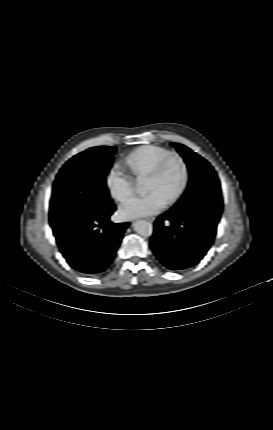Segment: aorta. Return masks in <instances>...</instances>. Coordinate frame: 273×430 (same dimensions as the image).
Segmentation results:
<instances>
[{
  "instance_id": "aorta-1",
  "label": "aorta",
  "mask_w": 273,
  "mask_h": 430,
  "mask_svg": "<svg viewBox=\"0 0 273 430\" xmlns=\"http://www.w3.org/2000/svg\"><path fill=\"white\" fill-rule=\"evenodd\" d=\"M138 192H144L146 190L145 182L143 180L137 181ZM134 230L141 236H150L153 232V226L151 223L145 220H137L134 222Z\"/></svg>"
}]
</instances>
